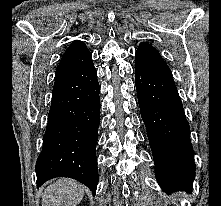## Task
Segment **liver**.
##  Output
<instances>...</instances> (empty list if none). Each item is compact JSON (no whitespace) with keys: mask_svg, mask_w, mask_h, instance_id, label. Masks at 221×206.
I'll use <instances>...</instances> for the list:
<instances>
[{"mask_svg":"<svg viewBox=\"0 0 221 206\" xmlns=\"http://www.w3.org/2000/svg\"><path fill=\"white\" fill-rule=\"evenodd\" d=\"M84 191L85 187L73 179H58L44 190L42 206H77Z\"/></svg>","mask_w":221,"mask_h":206,"instance_id":"1","label":"liver"}]
</instances>
